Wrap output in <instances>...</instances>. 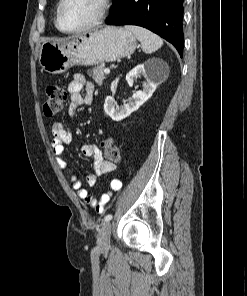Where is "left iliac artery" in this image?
Masks as SVG:
<instances>
[{"label":"left iliac artery","instance_id":"1","mask_svg":"<svg viewBox=\"0 0 247 296\" xmlns=\"http://www.w3.org/2000/svg\"><path fill=\"white\" fill-rule=\"evenodd\" d=\"M112 219V215L111 214H108L104 217V222H108Z\"/></svg>","mask_w":247,"mask_h":296}]
</instances>
